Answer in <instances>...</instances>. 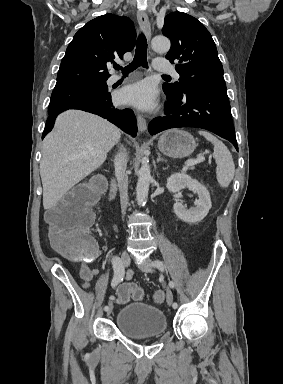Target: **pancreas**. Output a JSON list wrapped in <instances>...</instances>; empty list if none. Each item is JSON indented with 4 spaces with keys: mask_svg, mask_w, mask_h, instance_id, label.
I'll list each match as a JSON object with an SVG mask.
<instances>
[{
    "mask_svg": "<svg viewBox=\"0 0 283 384\" xmlns=\"http://www.w3.org/2000/svg\"><path fill=\"white\" fill-rule=\"evenodd\" d=\"M190 170H194V168H190Z\"/></svg>",
    "mask_w": 283,
    "mask_h": 384,
    "instance_id": "obj_1",
    "label": "pancreas"
}]
</instances>
